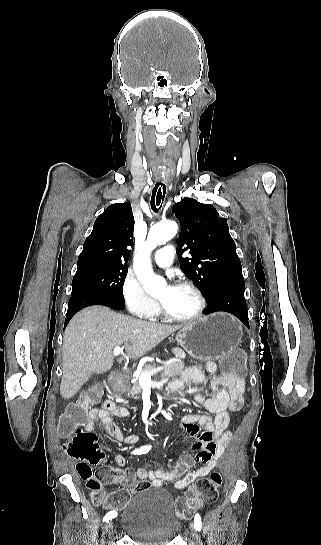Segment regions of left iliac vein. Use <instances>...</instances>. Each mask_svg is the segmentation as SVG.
Listing matches in <instances>:
<instances>
[{"label":"left iliac vein","instance_id":"1","mask_svg":"<svg viewBox=\"0 0 321 545\" xmlns=\"http://www.w3.org/2000/svg\"><path fill=\"white\" fill-rule=\"evenodd\" d=\"M190 530L193 533V535L196 537L195 526L193 525V523H190Z\"/></svg>","mask_w":321,"mask_h":545}]
</instances>
